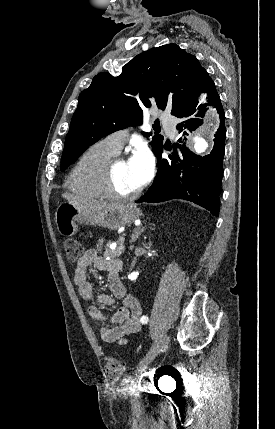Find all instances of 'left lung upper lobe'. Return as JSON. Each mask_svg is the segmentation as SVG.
Wrapping results in <instances>:
<instances>
[{"instance_id": "1", "label": "left lung upper lobe", "mask_w": 275, "mask_h": 429, "mask_svg": "<svg viewBox=\"0 0 275 429\" xmlns=\"http://www.w3.org/2000/svg\"><path fill=\"white\" fill-rule=\"evenodd\" d=\"M202 69L195 56L176 44H167L137 55L122 67L119 76L108 72L96 75L79 95L60 169L65 170L102 137L142 124L143 111L152 105L161 110L171 108L176 116L192 98ZM156 126L158 120L153 128ZM151 146L156 154L163 147V137L153 136Z\"/></svg>"}]
</instances>
